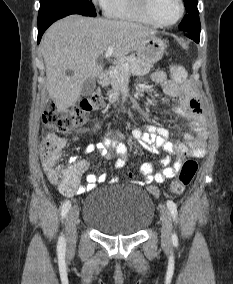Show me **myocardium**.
<instances>
[{"instance_id": "f54148a6", "label": "myocardium", "mask_w": 233, "mask_h": 284, "mask_svg": "<svg viewBox=\"0 0 233 284\" xmlns=\"http://www.w3.org/2000/svg\"><path fill=\"white\" fill-rule=\"evenodd\" d=\"M140 1H141V8H142L143 12L145 13V15L155 25H158V26H161V27H170V26H173V25L177 24L182 19L183 15H184V12H185L184 1L183 0H177L178 3H179V7H180V11H179V14H178L177 18L174 21H172V22L165 23V22L160 21L155 16V14L153 13L152 6H151V3H152L151 0H140Z\"/></svg>"}]
</instances>
